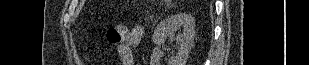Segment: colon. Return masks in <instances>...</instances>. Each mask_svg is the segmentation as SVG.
I'll return each mask as SVG.
<instances>
[{"label": "colon", "instance_id": "colon-1", "mask_svg": "<svg viewBox=\"0 0 309 65\" xmlns=\"http://www.w3.org/2000/svg\"><path fill=\"white\" fill-rule=\"evenodd\" d=\"M127 28L122 23L111 25L106 30V38L110 43H119L126 36Z\"/></svg>", "mask_w": 309, "mask_h": 65}]
</instances>
